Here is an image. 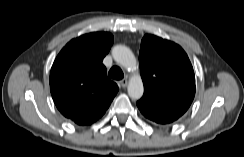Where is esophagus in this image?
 I'll return each mask as SVG.
<instances>
[{
  "label": "esophagus",
  "mask_w": 244,
  "mask_h": 157,
  "mask_svg": "<svg viewBox=\"0 0 244 157\" xmlns=\"http://www.w3.org/2000/svg\"><path fill=\"white\" fill-rule=\"evenodd\" d=\"M120 85H121V87H126L127 86V84H128V80L126 79V78H124V79H122L120 82Z\"/></svg>",
  "instance_id": "34e87169"
}]
</instances>
